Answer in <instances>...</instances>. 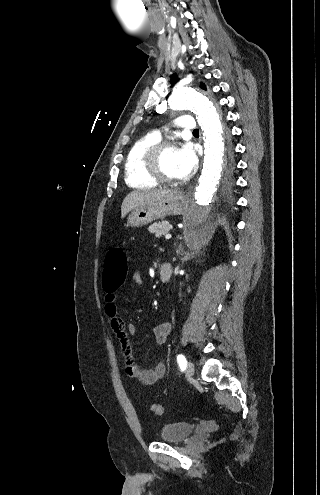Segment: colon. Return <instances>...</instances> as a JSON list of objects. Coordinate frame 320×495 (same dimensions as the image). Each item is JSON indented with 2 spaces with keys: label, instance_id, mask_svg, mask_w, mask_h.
Listing matches in <instances>:
<instances>
[{
  "label": "colon",
  "instance_id": "5ec220e1",
  "mask_svg": "<svg viewBox=\"0 0 320 495\" xmlns=\"http://www.w3.org/2000/svg\"><path fill=\"white\" fill-rule=\"evenodd\" d=\"M128 269L126 252L120 247L111 248L105 257L103 264V286L105 290L112 291L123 284ZM155 415H162L164 408L160 403H154L151 407Z\"/></svg>",
  "mask_w": 320,
  "mask_h": 495
}]
</instances>
